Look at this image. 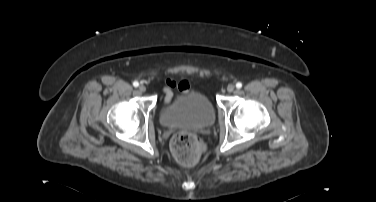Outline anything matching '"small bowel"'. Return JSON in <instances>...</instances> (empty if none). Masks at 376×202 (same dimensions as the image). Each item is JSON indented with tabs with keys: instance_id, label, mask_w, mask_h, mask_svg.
<instances>
[{
	"instance_id": "small-bowel-1",
	"label": "small bowel",
	"mask_w": 376,
	"mask_h": 202,
	"mask_svg": "<svg viewBox=\"0 0 376 202\" xmlns=\"http://www.w3.org/2000/svg\"><path fill=\"white\" fill-rule=\"evenodd\" d=\"M177 88L182 93H188L190 90V82L187 80H181L176 82L172 79H166L163 87V101L165 104H169L174 96L173 89Z\"/></svg>"
}]
</instances>
